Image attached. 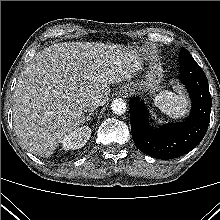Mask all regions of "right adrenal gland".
<instances>
[{
	"label": "right adrenal gland",
	"instance_id": "right-adrenal-gland-1",
	"mask_svg": "<svg viewBox=\"0 0 220 220\" xmlns=\"http://www.w3.org/2000/svg\"><path fill=\"white\" fill-rule=\"evenodd\" d=\"M91 116H93V113H89L86 118L84 119V122L88 123L91 120Z\"/></svg>",
	"mask_w": 220,
	"mask_h": 220
}]
</instances>
